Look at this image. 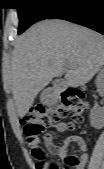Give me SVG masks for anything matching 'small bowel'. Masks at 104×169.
Segmentation results:
<instances>
[{
	"label": "small bowel",
	"mask_w": 104,
	"mask_h": 169,
	"mask_svg": "<svg viewBox=\"0 0 104 169\" xmlns=\"http://www.w3.org/2000/svg\"><path fill=\"white\" fill-rule=\"evenodd\" d=\"M55 130L58 132H66L69 128L68 124L65 122L57 123L54 126ZM48 144H53L50 138H47ZM54 145V144H53ZM76 145L79 150L82 152L81 156L79 157V164L75 167V169H85V166L88 162V153H87V144L84 138L80 135H71L69 136L65 142L61 146H57L58 148V155L65 159L68 156V151L70 147Z\"/></svg>",
	"instance_id": "obj_1"
}]
</instances>
